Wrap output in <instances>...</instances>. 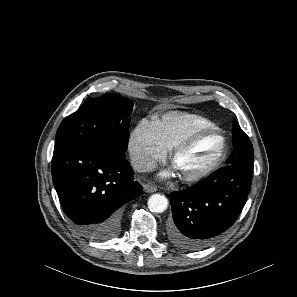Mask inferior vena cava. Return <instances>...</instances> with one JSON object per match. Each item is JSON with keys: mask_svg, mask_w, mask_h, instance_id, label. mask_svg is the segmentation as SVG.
<instances>
[{"mask_svg": "<svg viewBox=\"0 0 297 297\" xmlns=\"http://www.w3.org/2000/svg\"><path fill=\"white\" fill-rule=\"evenodd\" d=\"M131 164L133 169L137 172H149L155 167L154 162L146 158L134 157L131 159Z\"/></svg>", "mask_w": 297, "mask_h": 297, "instance_id": "1", "label": "inferior vena cava"}]
</instances>
